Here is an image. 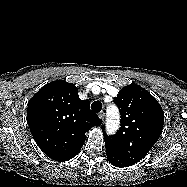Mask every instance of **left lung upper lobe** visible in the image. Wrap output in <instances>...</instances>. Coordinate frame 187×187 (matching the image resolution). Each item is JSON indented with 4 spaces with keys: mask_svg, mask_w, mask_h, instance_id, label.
<instances>
[{
    "mask_svg": "<svg viewBox=\"0 0 187 187\" xmlns=\"http://www.w3.org/2000/svg\"><path fill=\"white\" fill-rule=\"evenodd\" d=\"M120 108L121 127L115 135L104 131L105 146L135 163L143 159L159 139L164 112L158 101L137 84L123 87L115 99Z\"/></svg>",
    "mask_w": 187,
    "mask_h": 187,
    "instance_id": "obj_1",
    "label": "left lung upper lobe"
}]
</instances>
